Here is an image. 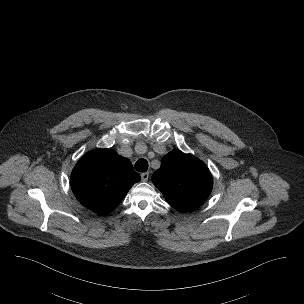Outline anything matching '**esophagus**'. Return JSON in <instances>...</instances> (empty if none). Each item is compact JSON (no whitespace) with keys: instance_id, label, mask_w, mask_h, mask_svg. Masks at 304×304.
Here are the masks:
<instances>
[{"instance_id":"esophagus-1","label":"esophagus","mask_w":304,"mask_h":304,"mask_svg":"<svg viewBox=\"0 0 304 304\" xmlns=\"http://www.w3.org/2000/svg\"><path fill=\"white\" fill-rule=\"evenodd\" d=\"M148 178H149V173L148 172H145V173L141 174V180L142 181H147Z\"/></svg>"}]
</instances>
